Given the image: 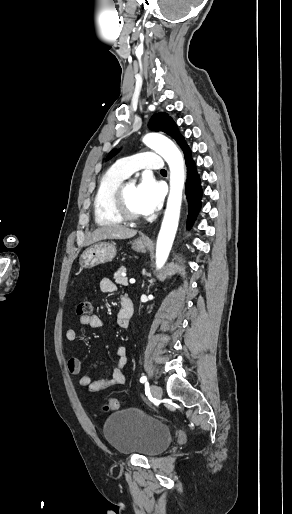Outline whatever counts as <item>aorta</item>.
I'll list each match as a JSON object with an SVG mask.
<instances>
[{
	"label": "aorta",
	"instance_id": "1",
	"mask_svg": "<svg viewBox=\"0 0 292 514\" xmlns=\"http://www.w3.org/2000/svg\"><path fill=\"white\" fill-rule=\"evenodd\" d=\"M143 142L145 146L162 156L170 168V192L156 246L157 268H162L170 254L178 228L185 182L184 162L177 146L161 134H146Z\"/></svg>",
	"mask_w": 292,
	"mask_h": 514
}]
</instances>
